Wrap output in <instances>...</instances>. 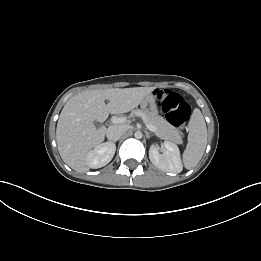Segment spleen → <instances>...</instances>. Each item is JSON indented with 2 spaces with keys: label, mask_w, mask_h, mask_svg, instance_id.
<instances>
[{
  "label": "spleen",
  "mask_w": 261,
  "mask_h": 261,
  "mask_svg": "<svg viewBox=\"0 0 261 261\" xmlns=\"http://www.w3.org/2000/svg\"><path fill=\"white\" fill-rule=\"evenodd\" d=\"M188 143L183 153V163L186 169L195 167L201 160L207 144V128L199 109H195L190 122Z\"/></svg>",
  "instance_id": "1"
}]
</instances>
